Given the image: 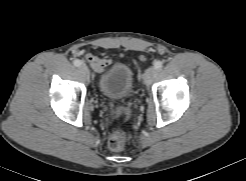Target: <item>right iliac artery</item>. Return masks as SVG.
Returning <instances> with one entry per match:
<instances>
[{"label": "right iliac artery", "instance_id": "right-iliac-artery-1", "mask_svg": "<svg viewBox=\"0 0 246 181\" xmlns=\"http://www.w3.org/2000/svg\"><path fill=\"white\" fill-rule=\"evenodd\" d=\"M73 64H74V66L79 67L80 65H82V61L76 59V60L73 61Z\"/></svg>", "mask_w": 246, "mask_h": 181}]
</instances>
